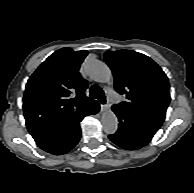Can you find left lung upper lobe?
I'll list each match as a JSON object with an SVG mask.
<instances>
[{"instance_id": "obj_1", "label": "left lung upper lobe", "mask_w": 194, "mask_h": 193, "mask_svg": "<svg viewBox=\"0 0 194 193\" xmlns=\"http://www.w3.org/2000/svg\"><path fill=\"white\" fill-rule=\"evenodd\" d=\"M104 57L113 72L115 89L126 97L113 106L162 124L170 94L168 78L159 65L131 50L107 51Z\"/></svg>"}]
</instances>
